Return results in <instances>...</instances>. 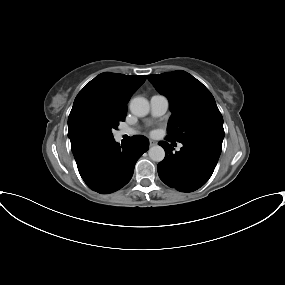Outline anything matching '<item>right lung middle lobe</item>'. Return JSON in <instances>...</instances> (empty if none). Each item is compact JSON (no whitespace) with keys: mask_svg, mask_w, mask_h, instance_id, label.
<instances>
[{"mask_svg":"<svg viewBox=\"0 0 285 285\" xmlns=\"http://www.w3.org/2000/svg\"><path fill=\"white\" fill-rule=\"evenodd\" d=\"M114 117H87L80 124V138L84 143L108 142L113 140L112 131L117 129L119 122Z\"/></svg>","mask_w":285,"mask_h":285,"instance_id":"dd1d6c3e","label":"right lung middle lobe"}]
</instances>
